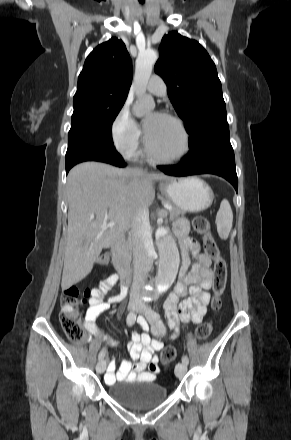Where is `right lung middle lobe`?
Returning <instances> with one entry per match:
<instances>
[{"label":"right lung middle lobe","mask_w":291,"mask_h":440,"mask_svg":"<svg viewBox=\"0 0 291 440\" xmlns=\"http://www.w3.org/2000/svg\"><path fill=\"white\" fill-rule=\"evenodd\" d=\"M124 102L125 100H99L73 103L74 112L68 133V145L87 142L114 148L112 123Z\"/></svg>","instance_id":"dd1d6c3e"}]
</instances>
